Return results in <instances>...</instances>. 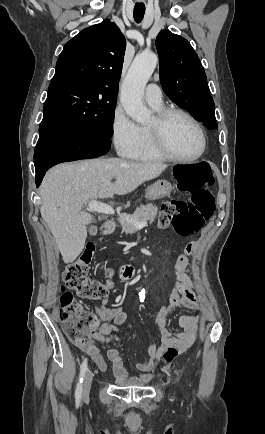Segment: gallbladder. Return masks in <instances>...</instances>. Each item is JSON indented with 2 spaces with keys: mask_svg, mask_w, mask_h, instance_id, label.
I'll return each mask as SVG.
<instances>
[{
  "mask_svg": "<svg viewBox=\"0 0 265 434\" xmlns=\"http://www.w3.org/2000/svg\"><path fill=\"white\" fill-rule=\"evenodd\" d=\"M96 232H97L96 226H92V232H91L92 236H95Z\"/></svg>",
  "mask_w": 265,
  "mask_h": 434,
  "instance_id": "bac80fb5",
  "label": "gallbladder"
}]
</instances>
